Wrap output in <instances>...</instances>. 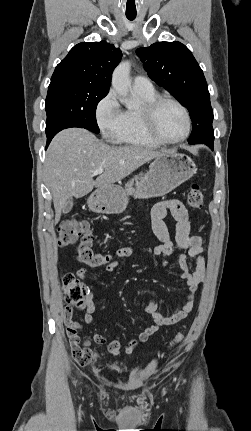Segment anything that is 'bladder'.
I'll return each mask as SVG.
<instances>
[{"mask_svg": "<svg viewBox=\"0 0 251 431\" xmlns=\"http://www.w3.org/2000/svg\"><path fill=\"white\" fill-rule=\"evenodd\" d=\"M113 371H115V372H121V368L120 367H118V366H114L113 367Z\"/></svg>", "mask_w": 251, "mask_h": 431, "instance_id": "bladder-1", "label": "bladder"}]
</instances>
